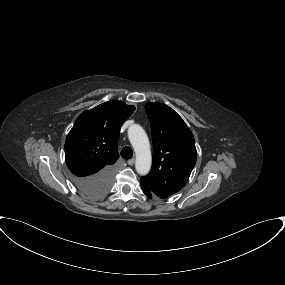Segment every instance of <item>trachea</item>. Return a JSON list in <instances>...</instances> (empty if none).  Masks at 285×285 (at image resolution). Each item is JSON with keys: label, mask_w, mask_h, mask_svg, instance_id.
<instances>
[{"label": "trachea", "mask_w": 285, "mask_h": 285, "mask_svg": "<svg viewBox=\"0 0 285 285\" xmlns=\"http://www.w3.org/2000/svg\"><path fill=\"white\" fill-rule=\"evenodd\" d=\"M121 156L124 158V159H131L132 156H133V151L132 149L129 147V146H125L121 152H120Z\"/></svg>", "instance_id": "1"}]
</instances>
